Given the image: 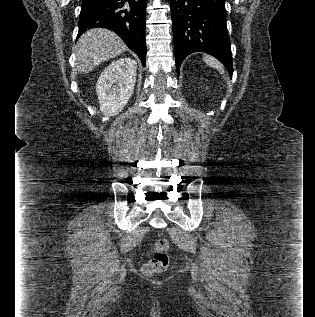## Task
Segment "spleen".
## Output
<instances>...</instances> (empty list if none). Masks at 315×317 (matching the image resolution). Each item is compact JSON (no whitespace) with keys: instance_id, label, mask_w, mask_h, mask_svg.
Wrapping results in <instances>:
<instances>
[{"instance_id":"1","label":"spleen","mask_w":315,"mask_h":317,"mask_svg":"<svg viewBox=\"0 0 315 317\" xmlns=\"http://www.w3.org/2000/svg\"><path fill=\"white\" fill-rule=\"evenodd\" d=\"M203 60L208 66L217 69L220 74L224 75L223 65L219 61L209 55H204Z\"/></svg>"}]
</instances>
